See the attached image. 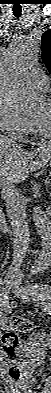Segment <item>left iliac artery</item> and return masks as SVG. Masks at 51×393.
<instances>
[{"label": "left iliac artery", "instance_id": "44dca946", "mask_svg": "<svg viewBox=\"0 0 51 393\" xmlns=\"http://www.w3.org/2000/svg\"><path fill=\"white\" fill-rule=\"evenodd\" d=\"M30 289L33 291V294H35L36 292L40 293V296L42 297V299H46L48 301V311L49 314H51V286L49 285H34L31 286Z\"/></svg>", "mask_w": 51, "mask_h": 393}]
</instances>
